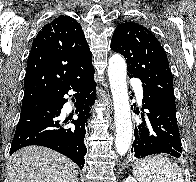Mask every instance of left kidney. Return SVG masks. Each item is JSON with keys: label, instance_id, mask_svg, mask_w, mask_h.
Segmentation results:
<instances>
[{"label": "left kidney", "instance_id": "1", "mask_svg": "<svg viewBox=\"0 0 196 182\" xmlns=\"http://www.w3.org/2000/svg\"><path fill=\"white\" fill-rule=\"evenodd\" d=\"M125 182H137V180L131 176L127 177V179L125 180Z\"/></svg>", "mask_w": 196, "mask_h": 182}]
</instances>
